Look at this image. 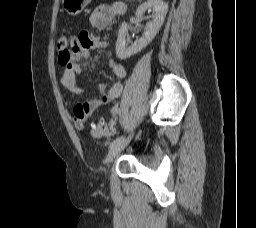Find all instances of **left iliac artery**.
Here are the masks:
<instances>
[{"label": "left iliac artery", "mask_w": 256, "mask_h": 228, "mask_svg": "<svg viewBox=\"0 0 256 228\" xmlns=\"http://www.w3.org/2000/svg\"><path fill=\"white\" fill-rule=\"evenodd\" d=\"M122 137H123V136H119V137H117L116 139H114V140L112 141V143L110 144V146L113 145V144H115L116 142L120 141V140L122 139Z\"/></svg>", "instance_id": "1"}]
</instances>
